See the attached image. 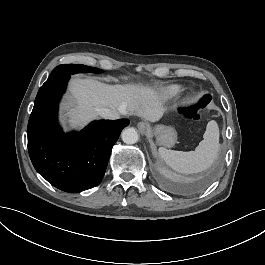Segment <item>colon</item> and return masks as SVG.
Returning <instances> with one entry per match:
<instances>
[{
    "label": "colon",
    "instance_id": "1",
    "mask_svg": "<svg viewBox=\"0 0 265 265\" xmlns=\"http://www.w3.org/2000/svg\"><path fill=\"white\" fill-rule=\"evenodd\" d=\"M200 110V107L197 104H194L190 109H187L184 112V115L187 118H195L196 117V113Z\"/></svg>",
    "mask_w": 265,
    "mask_h": 265
}]
</instances>
